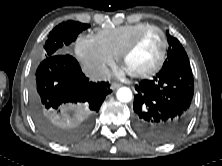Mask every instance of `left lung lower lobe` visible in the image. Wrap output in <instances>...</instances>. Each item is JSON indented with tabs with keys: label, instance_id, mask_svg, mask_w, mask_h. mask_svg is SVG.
Returning a JSON list of instances; mask_svg holds the SVG:
<instances>
[{
	"label": "left lung lower lobe",
	"instance_id": "left-lung-lower-lobe-1",
	"mask_svg": "<svg viewBox=\"0 0 222 166\" xmlns=\"http://www.w3.org/2000/svg\"><path fill=\"white\" fill-rule=\"evenodd\" d=\"M134 125L147 140L164 144L176 139L190 119L194 81L190 65L162 68L152 80L135 86Z\"/></svg>",
	"mask_w": 222,
	"mask_h": 166
}]
</instances>
